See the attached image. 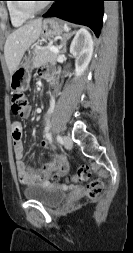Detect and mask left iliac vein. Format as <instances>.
I'll use <instances>...</instances> for the list:
<instances>
[{
    "instance_id": "4c4485c4",
    "label": "left iliac vein",
    "mask_w": 133,
    "mask_h": 253,
    "mask_svg": "<svg viewBox=\"0 0 133 253\" xmlns=\"http://www.w3.org/2000/svg\"><path fill=\"white\" fill-rule=\"evenodd\" d=\"M62 142H63L64 147L67 149H70L73 146V142L70 136H67V135L63 136Z\"/></svg>"
}]
</instances>
